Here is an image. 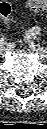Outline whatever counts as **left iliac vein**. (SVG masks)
Masks as SVG:
<instances>
[{
	"instance_id": "left-iliac-vein-1",
	"label": "left iliac vein",
	"mask_w": 47,
	"mask_h": 129,
	"mask_svg": "<svg viewBox=\"0 0 47 129\" xmlns=\"http://www.w3.org/2000/svg\"><path fill=\"white\" fill-rule=\"evenodd\" d=\"M32 39L34 38H30V48L35 51L37 54H39L43 59L46 58V52L45 50L40 47L39 45L35 44Z\"/></svg>"
}]
</instances>
